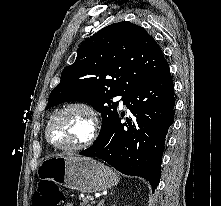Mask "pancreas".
Here are the masks:
<instances>
[{
	"label": "pancreas",
	"mask_w": 221,
	"mask_h": 206,
	"mask_svg": "<svg viewBox=\"0 0 221 206\" xmlns=\"http://www.w3.org/2000/svg\"><path fill=\"white\" fill-rule=\"evenodd\" d=\"M80 206H91V204L88 202L86 198L80 199Z\"/></svg>",
	"instance_id": "obj_1"
}]
</instances>
